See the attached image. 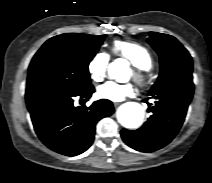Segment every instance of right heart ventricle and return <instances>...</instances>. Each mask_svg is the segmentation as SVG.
Here are the masks:
<instances>
[{
	"instance_id": "right-heart-ventricle-1",
	"label": "right heart ventricle",
	"mask_w": 212,
	"mask_h": 183,
	"mask_svg": "<svg viewBox=\"0 0 212 183\" xmlns=\"http://www.w3.org/2000/svg\"><path fill=\"white\" fill-rule=\"evenodd\" d=\"M111 51L114 55L128 60L134 66L150 69L153 65L151 53L140 43L133 41H114Z\"/></svg>"
}]
</instances>
